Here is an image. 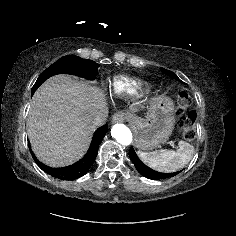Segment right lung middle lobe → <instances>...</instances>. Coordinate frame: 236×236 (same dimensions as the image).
Segmentation results:
<instances>
[{
    "label": "right lung middle lobe",
    "instance_id": "right-lung-middle-lobe-1",
    "mask_svg": "<svg viewBox=\"0 0 236 236\" xmlns=\"http://www.w3.org/2000/svg\"><path fill=\"white\" fill-rule=\"evenodd\" d=\"M98 66L99 65L92 60L82 59L74 55L64 56L48 67L38 77L32 88V95L45 80L56 74L66 73L93 80L97 75Z\"/></svg>",
    "mask_w": 236,
    "mask_h": 236
}]
</instances>
